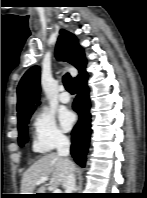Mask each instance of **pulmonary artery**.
<instances>
[{
  "instance_id": "e3ab8cb5",
  "label": "pulmonary artery",
  "mask_w": 147,
  "mask_h": 198,
  "mask_svg": "<svg viewBox=\"0 0 147 198\" xmlns=\"http://www.w3.org/2000/svg\"><path fill=\"white\" fill-rule=\"evenodd\" d=\"M71 100V97L69 95V93L65 90L64 87H60V94H59V101L61 103H69Z\"/></svg>"
}]
</instances>
